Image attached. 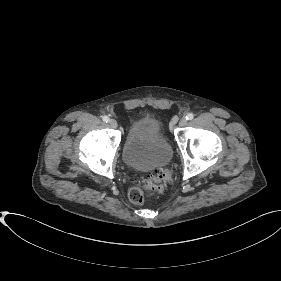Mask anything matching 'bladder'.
Segmentation results:
<instances>
[{"label":"bladder","mask_w":281,"mask_h":281,"mask_svg":"<svg viewBox=\"0 0 281 281\" xmlns=\"http://www.w3.org/2000/svg\"><path fill=\"white\" fill-rule=\"evenodd\" d=\"M123 157L125 163L140 171H148L168 165L173 150L160 132L158 119L151 116L136 119L127 134Z\"/></svg>","instance_id":"bladder-1"}]
</instances>
